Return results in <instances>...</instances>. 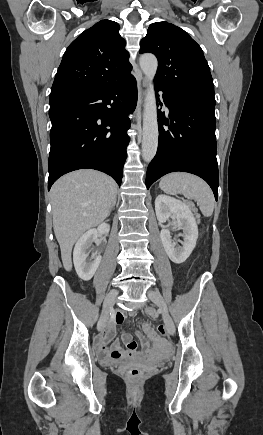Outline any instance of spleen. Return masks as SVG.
Masks as SVG:
<instances>
[{
    "label": "spleen",
    "instance_id": "1",
    "mask_svg": "<svg viewBox=\"0 0 263 435\" xmlns=\"http://www.w3.org/2000/svg\"><path fill=\"white\" fill-rule=\"evenodd\" d=\"M159 186L164 192L181 193L188 199H195L204 216L213 214L214 195L208 184L198 176L185 172L170 173L160 180Z\"/></svg>",
    "mask_w": 263,
    "mask_h": 435
}]
</instances>
